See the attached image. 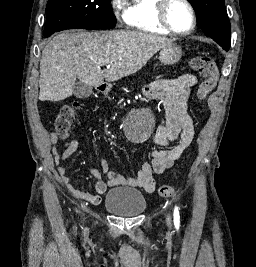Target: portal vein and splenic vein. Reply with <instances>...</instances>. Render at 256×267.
Here are the masks:
<instances>
[{"instance_id": "obj_1", "label": "portal vein and splenic vein", "mask_w": 256, "mask_h": 267, "mask_svg": "<svg viewBox=\"0 0 256 267\" xmlns=\"http://www.w3.org/2000/svg\"><path fill=\"white\" fill-rule=\"evenodd\" d=\"M100 64H104V66H105V64H108V62H100Z\"/></svg>"}]
</instances>
